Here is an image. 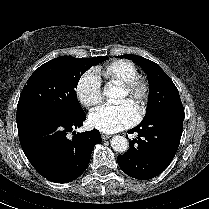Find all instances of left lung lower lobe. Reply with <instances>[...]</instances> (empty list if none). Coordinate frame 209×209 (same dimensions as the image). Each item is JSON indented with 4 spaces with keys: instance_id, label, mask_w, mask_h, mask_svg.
Returning a JSON list of instances; mask_svg holds the SVG:
<instances>
[{
    "instance_id": "left-lung-lower-lobe-1",
    "label": "left lung lower lobe",
    "mask_w": 209,
    "mask_h": 209,
    "mask_svg": "<svg viewBox=\"0 0 209 209\" xmlns=\"http://www.w3.org/2000/svg\"><path fill=\"white\" fill-rule=\"evenodd\" d=\"M183 120L184 111L164 112L128 131L137 132L139 137L129 143L130 148L125 154L118 156L119 167L139 180H148L162 173L178 149Z\"/></svg>"
}]
</instances>
